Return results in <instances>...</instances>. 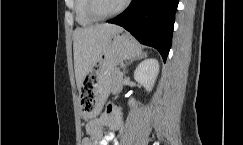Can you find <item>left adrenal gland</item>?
Returning <instances> with one entry per match:
<instances>
[{
    "label": "left adrenal gland",
    "instance_id": "a2214340",
    "mask_svg": "<svg viewBox=\"0 0 243 145\" xmlns=\"http://www.w3.org/2000/svg\"><path fill=\"white\" fill-rule=\"evenodd\" d=\"M144 56L146 57V54H144ZM133 61H130L129 63H127L124 67V73H126V69H127V66H129Z\"/></svg>",
    "mask_w": 243,
    "mask_h": 145
}]
</instances>
